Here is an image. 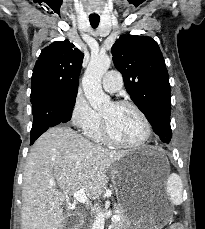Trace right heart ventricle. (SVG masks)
I'll use <instances>...</instances> for the list:
<instances>
[{"label":"right heart ventricle","instance_id":"right-heart-ventricle-1","mask_svg":"<svg viewBox=\"0 0 205 229\" xmlns=\"http://www.w3.org/2000/svg\"><path fill=\"white\" fill-rule=\"evenodd\" d=\"M86 134L95 141H98V142L104 141V137H103L102 129H101V121L96 127L88 131Z\"/></svg>","mask_w":205,"mask_h":229}]
</instances>
